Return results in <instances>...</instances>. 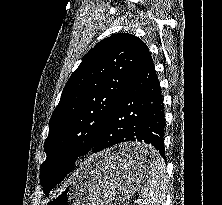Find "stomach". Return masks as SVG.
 I'll return each mask as SVG.
<instances>
[{"label": "stomach", "instance_id": "0dacf381", "mask_svg": "<svg viewBox=\"0 0 222 205\" xmlns=\"http://www.w3.org/2000/svg\"><path fill=\"white\" fill-rule=\"evenodd\" d=\"M135 151H147L156 156L153 147L132 142L102 151L88 158L67 185L43 205H120L146 181L150 165L127 162Z\"/></svg>", "mask_w": 222, "mask_h": 205}]
</instances>
